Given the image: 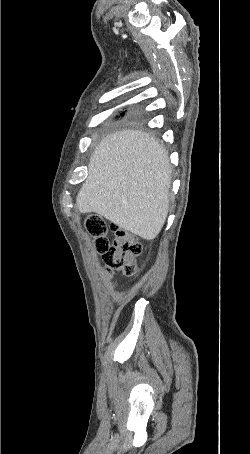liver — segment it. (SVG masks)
Returning a JSON list of instances; mask_svg holds the SVG:
<instances>
[{"instance_id":"liver-1","label":"liver","mask_w":250,"mask_h":454,"mask_svg":"<svg viewBox=\"0 0 250 454\" xmlns=\"http://www.w3.org/2000/svg\"><path fill=\"white\" fill-rule=\"evenodd\" d=\"M171 172L168 153L154 137L137 130L115 132L93 152L76 207L153 240L167 218Z\"/></svg>"}]
</instances>
